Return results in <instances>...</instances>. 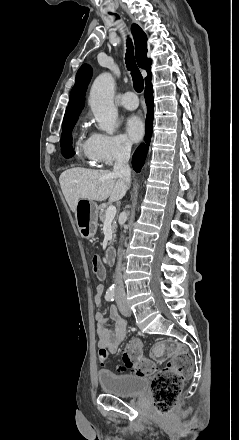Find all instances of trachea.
Here are the masks:
<instances>
[{"mask_svg": "<svg viewBox=\"0 0 239 440\" xmlns=\"http://www.w3.org/2000/svg\"><path fill=\"white\" fill-rule=\"evenodd\" d=\"M117 18H119V17L117 16ZM125 63H126L127 70H129L132 75L133 86H134L136 92H138V93L142 92L143 88H144V80H143L141 72L136 64L134 50H133V44L129 38L127 39V52H126V56H125Z\"/></svg>", "mask_w": 239, "mask_h": 440, "instance_id": "trachea-1", "label": "trachea"}]
</instances>
